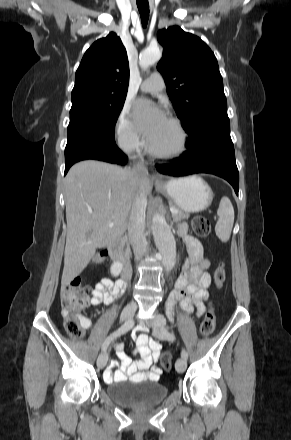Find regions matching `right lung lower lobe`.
I'll use <instances>...</instances> for the list:
<instances>
[{"label": "right lung lower lobe", "mask_w": 291, "mask_h": 440, "mask_svg": "<svg viewBox=\"0 0 291 440\" xmlns=\"http://www.w3.org/2000/svg\"><path fill=\"white\" fill-rule=\"evenodd\" d=\"M87 159L118 165L127 163V157L116 146L114 139L89 135H73L68 137L65 148V174L74 163Z\"/></svg>", "instance_id": "1"}]
</instances>
